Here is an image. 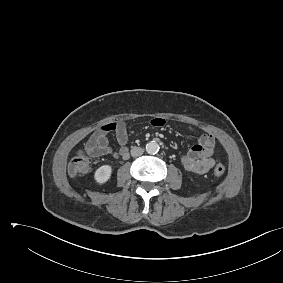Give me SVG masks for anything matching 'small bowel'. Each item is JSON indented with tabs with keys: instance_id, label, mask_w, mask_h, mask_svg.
<instances>
[{
	"instance_id": "small-bowel-1",
	"label": "small bowel",
	"mask_w": 283,
	"mask_h": 283,
	"mask_svg": "<svg viewBox=\"0 0 283 283\" xmlns=\"http://www.w3.org/2000/svg\"><path fill=\"white\" fill-rule=\"evenodd\" d=\"M165 124L163 118H154L152 125L161 127ZM114 132L118 148L114 150L108 141V134ZM128 133L126 124L123 122H112L103 125L96 130L86 144V150L92 157H102L113 155L117 158L126 159L129 156L127 147ZM216 152L215 139L209 134L202 135L197 143L187 152L181 154L180 162L182 166L190 172L203 174L208 172L215 164L213 158Z\"/></svg>"
}]
</instances>
